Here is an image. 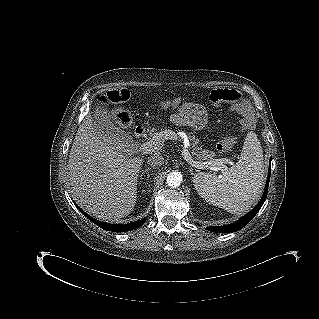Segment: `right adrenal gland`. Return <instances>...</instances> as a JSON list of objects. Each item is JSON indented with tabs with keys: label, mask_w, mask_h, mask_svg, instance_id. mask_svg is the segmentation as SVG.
Listing matches in <instances>:
<instances>
[{
	"label": "right adrenal gland",
	"mask_w": 319,
	"mask_h": 319,
	"mask_svg": "<svg viewBox=\"0 0 319 319\" xmlns=\"http://www.w3.org/2000/svg\"><path fill=\"white\" fill-rule=\"evenodd\" d=\"M152 170V168H146L145 170H142V173L140 174V177L142 178V176L146 173L147 176H149V171Z\"/></svg>",
	"instance_id": "1"
}]
</instances>
